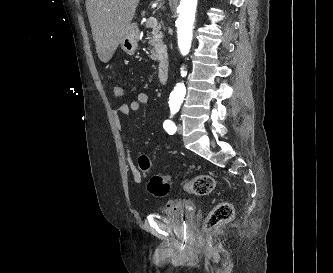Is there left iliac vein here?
Segmentation results:
<instances>
[{
	"label": "left iliac vein",
	"instance_id": "1",
	"mask_svg": "<svg viewBox=\"0 0 333 273\" xmlns=\"http://www.w3.org/2000/svg\"><path fill=\"white\" fill-rule=\"evenodd\" d=\"M177 132H178L179 134H182V132H183V125H182V124H178V125H177Z\"/></svg>",
	"mask_w": 333,
	"mask_h": 273
}]
</instances>
